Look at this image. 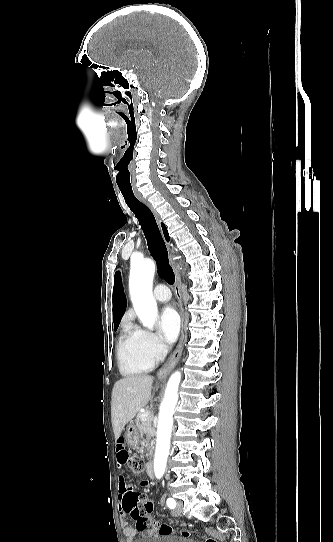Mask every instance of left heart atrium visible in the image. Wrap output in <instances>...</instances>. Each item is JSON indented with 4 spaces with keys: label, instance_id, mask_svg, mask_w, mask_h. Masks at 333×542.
<instances>
[{
    "label": "left heart atrium",
    "instance_id": "left-heart-atrium-1",
    "mask_svg": "<svg viewBox=\"0 0 333 542\" xmlns=\"http://www.w3.org/2000/svg\"><path fill=\"white\" fill-rule=\"evenodd\" d=\"M161 334L164 340L172 344L178 335L180 320L176 311L171 307L163 309L160 316Z\"/></svg>",
    "mask_w": 333,
    "mask_h": 542
}]
</instances>
